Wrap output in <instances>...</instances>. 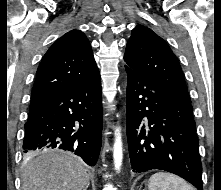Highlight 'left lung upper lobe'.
<instances>
[{
	"mask_svg": "<svg viewBox=\"0 0 221 190\" xmlns=\"http://www.w3.org/2000/svg\"><path fill=\"white\" fill-rule=\"evenodd\" d=\"M124 60L132 70L154 78L191 103L180 64L168 44L151 29L138 25L127 42Z\"/></svg>",
	"mask_w": 221,
	"mask_h": 190,
	"instance_id": "obj_1",
	"label": "left lung upper lobe"
}]
</instances>
